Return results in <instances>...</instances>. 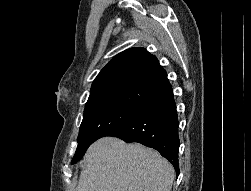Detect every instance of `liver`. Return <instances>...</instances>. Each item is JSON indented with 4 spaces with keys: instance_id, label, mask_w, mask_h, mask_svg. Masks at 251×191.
I'll list each match as a JSON object with an SVG mask.
<instances>
[{
    "instance_id": "1",
    "label": "liver",
    "mask_w": 251,
    "mask_h": 191,
    "mask_svg": "<svg viewBox=\"0 0 251 191\" xmlns=\"http://www.w3.org/2000/svg\"><path fill=\"white\" fill-rule=\"evenodd\" d=\"M76 191H170L174 169L152 147L101 137L88 147Z\"/></svg>"
}]
</instances>
